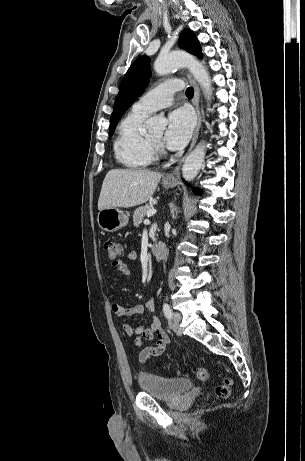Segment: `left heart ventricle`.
<instances>
[{
    "label": "left heart ventricle",
    "instance_id": "1",
    "mask_svg": "<svg viewBox=\"0 0 305 461\" xmlns=\"http://www.w3.org/2000/svg\"><path fill=\"white\" fill-rule=\"evenodd\" d=\"M152 140H154L157 143H161L163 140V131L157 132L153 135L150 136Z\"/></svg>",
    "mask_w": 305,
    "mask_h": 461
}]
</instances>
